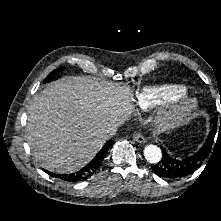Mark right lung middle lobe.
Masks as SVG:
<instances>
[{
	"label": "right lung middle lobe",
	"instance_id": "obj_1",
	"mask_svg": "<svg viewBox=\"0 0 221 221\" xmlns=\"http://www.w3.org/2000/svg\"><path fill=\"white\" fill-rule=\"evenodd\" d=\"M63 69H64V67H61L60 69H58V71L63 70ZM55 74H56V70L52 71V72L46 77V79L44 80V83H47L48 81L52 80V79L54 78Z\"/></svg>",
	"mask_w": 221,
	"mask_h": 221
}]
</instances>
